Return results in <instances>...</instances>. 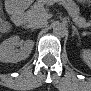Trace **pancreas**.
<instances>
[{
    "mask_svg": "<svg viewBox=\"0 0 91 91\" xmlns=\"http://www.w3.org/2000/svg\"><path fill=\"white\" fill-rule=\"evenodd\" d=\"M44 1L36 2L31 8L26 12V18L28 21L36 22L44 18L47 10L44 8ZM61 4L67 9L73 20L83 28L89 27V23L85 21L84 18L79 16V7L72 1H61Z\"/></svg>",
    "mask_w": 91,
    "mask_h": 91,
    "instance_id": "1",
    "label": "pancreas"
}]
</instances>
